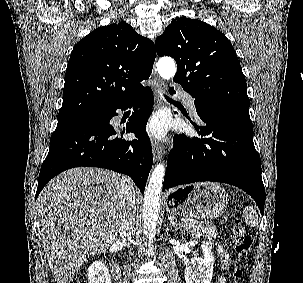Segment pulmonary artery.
<instances>
[{
  "label": "pulmonary artery",
  "instance_id": "1",
  "mask_svg": "<svg viewBox=\"0 0 303 283\" xmlns=\"http://www.w3.org/2000/svg\"><path fill=\"white\" fill-rule=\"evenodd\" d=\"M177 96L185 102L191 112L196 113L195 99L193 96L182 90L177 92Z\"/></svg>",
  "mask_w": 303,
  "mask_h": 283
}]
</instances>
